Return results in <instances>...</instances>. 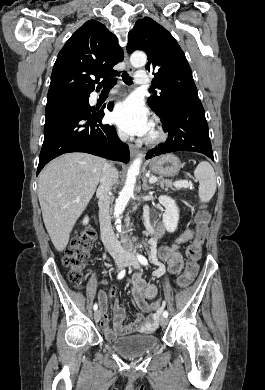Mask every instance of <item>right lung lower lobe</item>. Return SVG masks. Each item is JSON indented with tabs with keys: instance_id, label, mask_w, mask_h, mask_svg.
<instances>
[{
	"instance_id": "right-lung-lower-lobe-1",
	"label": "right lung lower lobe",
	"mask_w": 265,
	"mask_h": 390,
	"mask_svg": "<svg viewBox=\"0 0 265 390\" xmlns=\"http://www.w3.org/2000/svg\"><path fill=\"white\" fill-rule=\"evenodd\" d=\"M105 107L111 111L113 103L101 109L91 107L89 102L47 104L37 175L50 160L66 152H86L127 163L128 146L119 140L114 126L101 122Z\"/></svg>"
}]
</instances>
